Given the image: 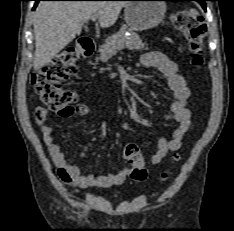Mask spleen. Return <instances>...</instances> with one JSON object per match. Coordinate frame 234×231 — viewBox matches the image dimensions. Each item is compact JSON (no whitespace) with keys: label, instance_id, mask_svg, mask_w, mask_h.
<instances>
[{"label":"spleen","instance_id":"3e777b00","mask_svg":"<svg viewBox=\"0 0 234 231\" xmlns=\"http://www.w3.org/2000/svg\"><path fill=\"white\" fill-rule=\"evenodd\" d=\"M191 13H193V14H197V11H196V10H194V9H191Z\"/></svg>","mask_w":234,"mask_h":231}]
</instances>
